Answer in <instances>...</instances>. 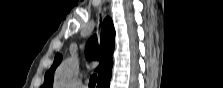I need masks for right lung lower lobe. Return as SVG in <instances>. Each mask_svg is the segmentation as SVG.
<instances>
[{
  "label": "right lung lower lobe",
  "instance_id": "98d812e1",
  "mask_svg": "<svg viewBox=\"0 0 223 88\" xmlns=\"http://www.w3.org/2000/svg\"><path fill=\"white\" fill-rule=\"evenodd\" d=\"M110 78L98 83V88H109Z\"/></svg>",
  "mask_w": 223,
  "mask_h": 88
}]
</instances>
